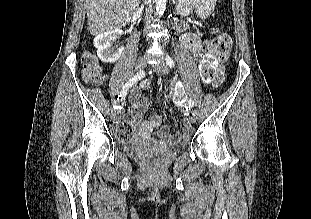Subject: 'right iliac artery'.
I'll list each match as a JSON object with an SVG mask.
<instances>
[{
	"label": "right iliac artery",
	"mask_w": 311,
	"mask_h": 219,
	"mask_svg": "<svg viewBox=\"0 0 311 219\" xmlns=\"http://www.w3.org/2000/svg\"><path fill=\"white\" fill-rule=\"evenodd\" d=\"M145 76V72L142 70L140 72H138L135 76H133L124 86L123 89L120 92V97L121 100H123L127 94V91L129 90V88L135 84L138 80H140L141 78H143ZM116 108V106H115Z\"/></svg>",
	"instance_id": "1"
}]
</instances>
